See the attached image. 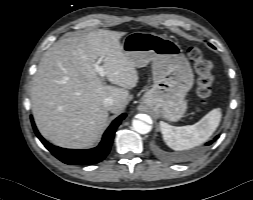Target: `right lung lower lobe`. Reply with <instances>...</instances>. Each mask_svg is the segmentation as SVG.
Here are the masks:
<instances>
[{"label": "right lung lower lobe", "mask_w": 253, "mask_h": 200, "mask_svg": "<svg viewBox=\"0 0 253 200\" xmlns=\"http://www.w3.org/2000/svg\"><path fill=\"white\" fill-rule=\"evenodd\" d=\"M126 117V114H121L117 117L108 129L105 131L102 141L100 144L92 149L87 150H76V149H64L60 147L53 146L48 143L38 132L34 121L32 120L33 129L44 144V146L60 161L73 165V164H95L102 161L110 151L112 141L114 138L115 131L120 125L121 121Z\"/></svg>", "instance_id": "1"}]
</instances>
